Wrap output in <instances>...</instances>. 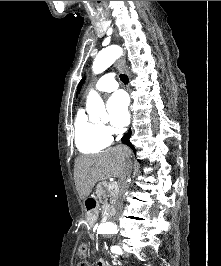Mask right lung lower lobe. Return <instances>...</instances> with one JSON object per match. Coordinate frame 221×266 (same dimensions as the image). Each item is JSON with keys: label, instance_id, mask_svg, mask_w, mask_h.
Returning a JSON list of instances; mask_svg holds the SVG:
<instances>
[{"label": "right lung lower lobe", "instance_id": "1", "mask_svg": "<svg viewBox=\"0 0 221 266\" xmlns=\"http://www.w3.org/2000/svg\"><path fill=\"white\" fill-rule=\"evenodd\" d=\"M130 137H131V129L128 131L127 134H125L122 137V143L128 145L129 147H131L134 150V152H136L135 148L133 147V145L130 142Z\"/></svg>", "mask_w": 221, "mask_h": 266}]
</instances>
